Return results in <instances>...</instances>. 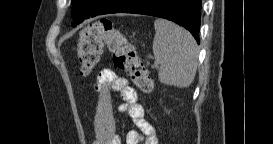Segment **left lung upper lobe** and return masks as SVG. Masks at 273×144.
<instances>
[{
  "label": "left lung upper lobe",
  "mask_w": 273,
  "mask_h": 144,
  "mask_svg": "<svg viewBox=\"0 0 273 144\" xmlns=\"http://www.w3.org/2000/svg\"><path fill=\"white\" fill-rule=\"evenodd\" d=\"M86 6L85 3H83V0H72V14L78 12V11H83L85 8H91L92 5L96 0H90Z\"/></svg>",
  "instance_id": "left-lung-upper-lobe-1"
}]
</instances>
